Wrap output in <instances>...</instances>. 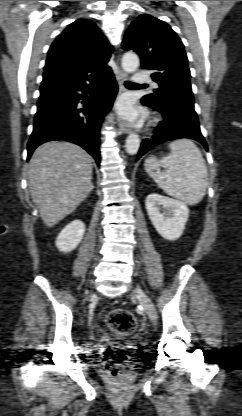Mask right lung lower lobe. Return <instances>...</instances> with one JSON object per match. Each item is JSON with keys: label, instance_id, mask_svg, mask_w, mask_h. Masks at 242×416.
<instances>
[{"label": "right lung lower lobe", "instance_id": "1", "mask_svg": "<svg viewBox=\"0 0 242 416\" xmlns=\"http://www.w3.org/2000/svg\"><path fill=\"white\" fill-rule=\"evenodd\" d=\"M117 91L110 71L87 82L42 92L27 159L39 145L62 139L84 148L100 165L99 131Z\"/></svg>", "mask_w": 242, "mask_h": 416}]
</instances>
